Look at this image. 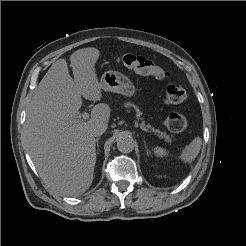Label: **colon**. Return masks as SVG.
I'll return each mask as SVG.
<instances>
[{"mask_svg":"<svg viewBox=\"0 0 246 246\" xmlns=\"http://www.w3.org/2000/svg\"><path fill=\"white\" fill-rule=\"evenodd\" d=\"M117 61L137 74L152 76L160 80L171 79V75L167 70L142 56H138L133 53H126L119 56ZM186 97V90L179 84L172 82L166 88L163 101L166 105H176L182 103ZM164 125L170 131L178 133L187 128L188 121L184 116L172 113L164 121Z\"/></svg>","mask_w":246,"mask_h":246,"instance_id":"5ec220e1","label":"colon"}]
</instances>
